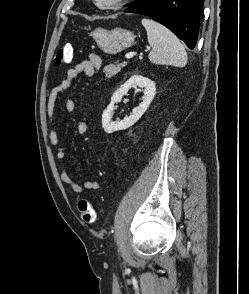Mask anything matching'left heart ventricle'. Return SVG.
Listing matches in <instances>:
<instances>
[{
  "instance_id": "obj_1",
  "label": "left heart ventricle",
  "mask_w": 249,
  "mask_h": 294,
  "mask_svg": "<svg viewBox=\"0 0 249 294\" xmlns=\"http://www.w3.org/2000/svg\"><path fill=\"white\" fill-rule=\"evenodd\" d=\"M100 3L106 4V3H111L115 0H98Z\"/></svg>"
}]
</instances>
